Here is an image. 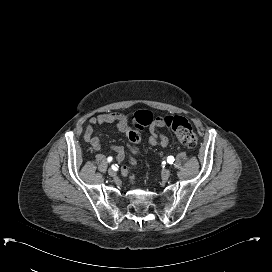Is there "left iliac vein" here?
I'll list each match as a JSON object with an SVG mask.
<instances>
[{
  "instance_id": "left-iliac-vein-1",
  "label": "left iliac vein",
  "mask_w": 272,
  "mask_h": 272,
  "mask_svg": "<svg viewBox=\"0 0 272 272\" xmlns=\"http://www.w3.org/2000/svg\"><path fill=\"white\" fill-rule=\"evenodd\" d=\"M161 175H162V177H163L164 179H167V178H169V176L171 175V171H170L169 169H164V170H162Z\"/></svg>"
}]
</instances>
